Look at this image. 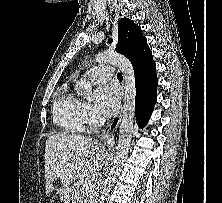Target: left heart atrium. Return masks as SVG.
Masks as SVG:
<instances>
[{"label":"left heart atrium","mask_w":222,"mask_h":203,"mask_svg":"<svg viewBox=\"0 0 222 203\" xmlns=\"http://www.w3.org/2000/svg\"><path fill=\"white\" fill-rule=\"evenodd\" d=\"M120 102V92L112 85L97 89L95 93L96 111L104 116H111L116 113Z\"/></svg>","instance_id":"left-heart-atrium-1"}]
</instances>
